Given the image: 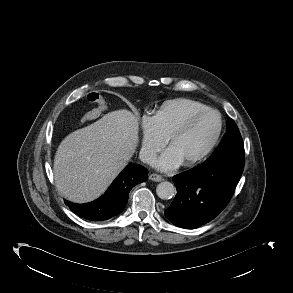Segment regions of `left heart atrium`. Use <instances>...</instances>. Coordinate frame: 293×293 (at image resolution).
Returning a JSON list of instances; mask_svg holds the SVG:
<instances>
[{
  "instance_id": "1",
  "label": "left heart atrium",
  "mask_w": 293,
  "mask_h": 293,
  "mask_svg": "<svg viewBox=\"0 0 293 293\" xmlns=\"http://www.w3.org/2000/svg\"><path fill=\"white\" fill-rule=\"evenodd\" d=\"M182 164L180 158L171 148H167L155 161L156 168L162 171H169L179 167Z\"/></svg>"
}]
</instances>
